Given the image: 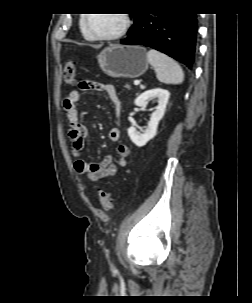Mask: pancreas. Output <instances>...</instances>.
Listing matches in <instances>:
<instances>
[{
    "instance_id": "cf45deb5",
    "label": "pancreas",
    "mask_w": 252,
    "mask_h": 303,
    "mask_svg": "<svg viewBox=\"0 0 252 303\" xmlns=\"http://www.w3.org/2000/svg\"><path fill=\"white\" fill-rule=\"evenodd\" d=\"M125 87H126L127 89H130V85H128V84H126Z\"/></svg>"
}]
</instances>
